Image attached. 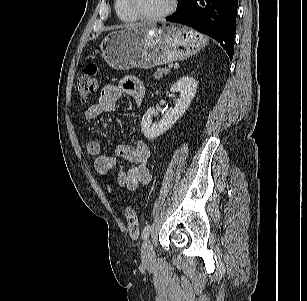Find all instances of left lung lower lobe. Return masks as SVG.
Here are the masks:
<instances>
[{"mask_svg": "<svg viewBox=\"0 0 307 301\" xmlns=\"http://www.w3.org/2000/svg\"><path fill=\"white\" fill-rule=\"evenodd\" d=\"M178 5L167 21L188 25L214 38L233 58L238 0H179Z\"/></svg>", "mask_w": 307, "mask_h": 301, "instance_id": "left-lung-lower-lobe-1", "label": "left lung lower lobe"}]
</instances>
